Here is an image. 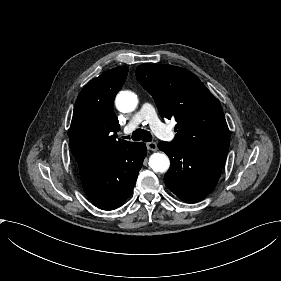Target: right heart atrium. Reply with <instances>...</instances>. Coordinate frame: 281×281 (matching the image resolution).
<instances>
[{"label": "right heart atrium", "instance_id": "d8ad5b80", "mask_svg": "<svg viewBox=\"0 0 281 281\" xmlns=\"http://www.w3.org/2000/svg\"><path fill=\"white\" fill-rule=\"evenodd\" d=\"M115 103L116 105L119 103L121 105H123L124 107H128L129 105V96L126 92L121 91L116 95L115 98Z\"/></svg>", "mask_w": 281, "mask_h": 281}]
</instances>
